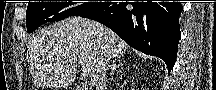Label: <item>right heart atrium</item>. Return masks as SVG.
Returning a JSON list of instances; mask_svg holds the SVG:
<instances>
[{"instance_id": "right-heart-atrium-1", "label": "right heart atrium", "mask_w": 216, "mask_h": 90, "mask_svg": "<svg viewBox=\"0 0 216 90\" xmlns=\"http://www.w3.org/2000/svg\"><path fill=\"white\" fill-rule=\"evenodd\" d=\"M73 10H83L84 6H72Z\"/></svg>"}]
</instances>
